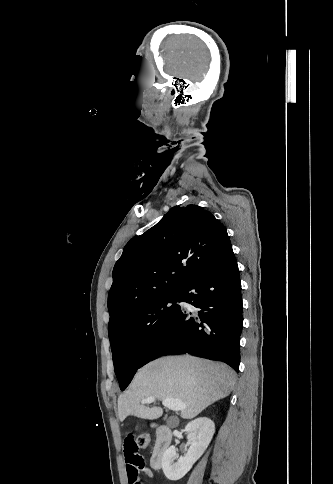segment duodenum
Returning a JSON list of instances; mask_svg holds the SVG:
<instances>
[{
  "label": "duodenum",
  "instance_id": "duodenum-1",
  "mask_svg": "<svg viewBox=\"0 0 333 484\" xmlns=\"http://www.w3.org/2000/svg\"><path fill=\"white\" fill-rule=\"evenodd\" d=\"M157 439L151 456V467L153 469H160L162 467L163 457L165 451L169 447L173 439L172 430L166 425H159L156 429Z\"/></svg>",
  "mask_w": 333,
  "mask_h": 484
}]
</instances>
